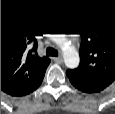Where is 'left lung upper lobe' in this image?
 Instances as JSON below:
<instances>
[{
	"instance_id": "obj_1",
	"label": "left lung upper lobe",
	"mask_w": 115,
	"mask_h": 114,
	"mask_svg": "<svg viewBox=\"0 0 115 114\" xmlns=\"http://www.w3.org/2000/svg\"><path fill=\"white\" fill-rule=\"evenodd\" d=\"M81 34L80 65L67 70L68 77L109 86L115 80V18L91 20L78 29Z\"/></svg>"
}]
</instances>
